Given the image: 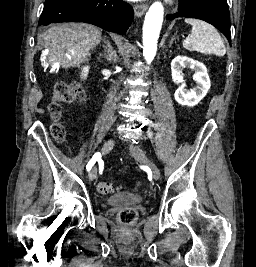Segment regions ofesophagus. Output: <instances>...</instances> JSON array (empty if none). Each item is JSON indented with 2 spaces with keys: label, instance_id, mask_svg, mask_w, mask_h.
<instances>
[{
  "label": "esophagus",
  "instance_id": "obj_1",
  "mask_svg": "<svg viewBox=\"0 0 256 267\" xmlns=\"http://www.w3.org/2000/svg\"><path fill=\"white\" fill-rule=\"evenodd\" d=\"M147 8H148L147 3L135 5V7H134L135 16L141 17L143 15V13L146 12Z\"/></svg>",
  "mask_w": 256,
  "mask_h": 267
}]
</instances>
